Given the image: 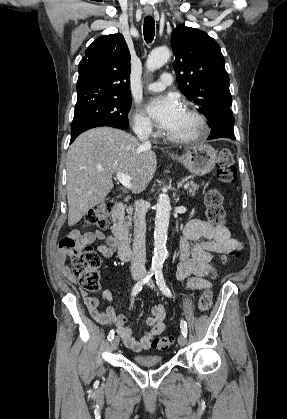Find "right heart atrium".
Listing matches in <instances>:
<instances>
[{
	"instance_id": "d8ad5b80",
	"label": "right heart atrium",
	"mask_w": 287,
	"mask_h": 419,
	"mask_svg": "<svg viewBox=\"0 0 287 419\" xmlns=\"http://www.w3.org/2000/svg\"><path fill=\"white\" fill-rule=\"evenodd\" d=\"M134 131L140 136H152L154 129L152 122L140 111H136L133 115Z\"/></svg>"
}]
</instances>
